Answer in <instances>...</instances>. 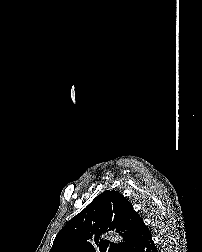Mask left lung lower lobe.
I'll return each mask as SVG.
<instances>
[{
  "mask_svg": "<svg viewBox=\"0 0 202 252\" xmlns=\"http://www.w3.org/2000/svg\"><path fill=\"white\" fill-rule=\"evenodd\" d=\"M131 252H157L151 233L143 220L136 227L135 241Z\"/></svg>",
  "mask_w": 202,
  "mask_h": 252,
  "instance_id": "1",
  "label": "left lung lower lobe"
}]
</instances>
